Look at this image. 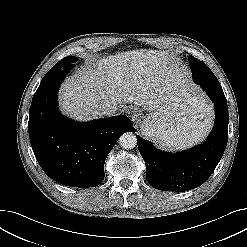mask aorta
<instances>
[{"mask_svg": "<svg viewBox=\"0 0 247 247\" xmlns=\"http://www.w3.org/2000/svg\"><path fill=\"white\" fill-rule=\"evenodd\" d=\"M119 144L124 149H132L137 145V138L133 133L126 132L120 136Z\"/></svg>", "mask_w": 247, "mask_h": 247, "instance_id": "762f6f07", "label": "aorta"}]
</instances>
